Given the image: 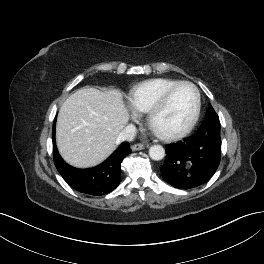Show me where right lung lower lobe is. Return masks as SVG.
I'll use <instances>...</instances> for the list:
<instances>
[{
    "instance_id": "obj_1",
    "label": "right lung lower lobe",
    "mask_w": 264,
    "mask_h": 264,
    "mask_svg": "<svg viewBox=\"0 0 264 264\" xmlns=\"http://www.w3.org/2000/svg\"><path fill=\"white\" fill-rule=\"evenodd\" d=\"M55 124L56 120L52 131L54 163L65 181L75 190L89 195L100 196L114 190L120 183L121 163L131 153L129 143L123 142L102 164L89 169H77L68 165L58 153Z\"/></svg>"
}]
</instances>
